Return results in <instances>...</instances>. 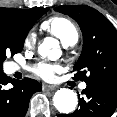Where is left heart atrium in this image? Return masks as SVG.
<instances>
[{"mask_svg": "<svg viewBox=\"0 0 117 117\" xmlns=\"http://www.w3.org/2000/svg\"><path fill=\"white\" fill-rule=\"evenodd\" d=\"M59 71H61V65L58 63L39 62L32 67V72L46 81L53 80Z\"/></svg>", "mask_w": 117, "mask_h": 117, "instance_id": "39dd6f15", "label": "left heart atrium"}]
</instances>
